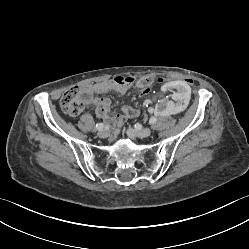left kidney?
<instances>
[{"instance_id":"obj_1","label":"left kidney","mask_w":249,"mask_h":249,"mask_svg":"<svg viewBox=\"0 0 249 249\" xmlns=\"http://www.w3.org/2000/svg\"><path fill=\"white\" fill-rule=\"evenodd\" d=\"M161 90L167 94L159 102L150 107L153 115H163L166 118L182 113L192 103L193 94L190 85L180 79L164 82ZM171 94V96H169Z\"/></svg>"}]
</instances>
